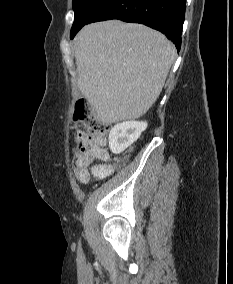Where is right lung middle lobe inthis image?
Returning a JSON list of instances; mask_svg holds the SVG:
<instances>
[{
	"mask_svg": "<svg viewBox=\"0 0 233 284\" xmlns=\"http://www.w3.org/2000/svg\"><path fill=\"white\" fill-rule=\"evenodd\" d=\"M108 1L109 0H73L74 23L70 35L78 29H81L92 15Z\"/></svg>",
	"mask_w": 233,
	"mask_h": 284,
	"instance_id": "dd1d6c3e",
	"label": "right lung middle lobe"
}]
</instances>
